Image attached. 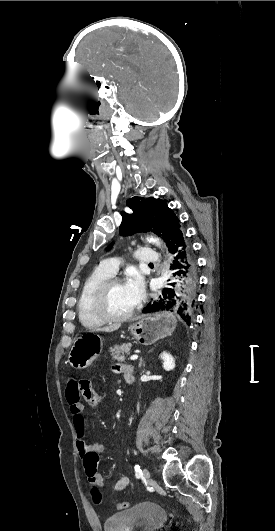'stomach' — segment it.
<instances>
[{
    "instance_id": "0dacf381",
    "label": "stomach",
    "mask_w": 275,
    "mask_h": 531,
    "mask_svg": "<svg viewBox=\"0 0 275 531\" xmlns=\"http://www.w3.org/2000/svg\"><path fill=\"white\" fill-rule=\"evenodd\" d=\"M177 319L173 313H156L143 315L132 321L129 331L140 345H153L164 339L176 329ZM103 341L94 331H86L75 339L68 357V363L74 369H86L102 353Z\"/></svg>"
}]
</instances>
